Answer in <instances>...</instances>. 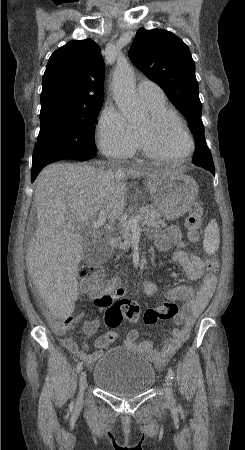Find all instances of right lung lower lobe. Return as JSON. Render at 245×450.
<instances>
[{"label": "right lung lower lobe", "instance_id": "obj_1", "mask_svg": "<svg viewBox=\"0 0 245 450\" xmlns=\"http://www.w3.org/2000/svg\"><path fill=\"white\" fill-rule=\"evenodd\" d=\"M95 154L96 153H70V154H64V155L56 156L54 158H50V159L44 161L43 163H41L39 166L32 167V170H31L32 182L35 180V178L37 177V175L39 174L41 169L49 163H52L54 161L61 160V159H75V160L85 161V160L92 158Z\"/></svg>", "mask_w": 245, "mask_h": 450}]
</instances>
